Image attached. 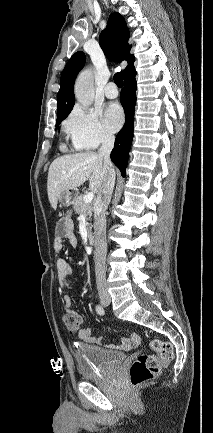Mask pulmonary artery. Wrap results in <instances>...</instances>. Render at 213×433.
Segmentation results:
<instances>
[{
	"instance_id": "e3ab8cb5",
	"label": "pulmonary artery",
	"mask_w": 213,
	"mask_h": 433,
	"mask_svg": "<svg viewBox=\"0 0 213 433\" xmlns=\"http://www.w3.org/2000/svg\"><path fill=\"white\" fill-rule=\"evenodd\" d=\"M104 94L107 98H116L118 96L116 85L113 82H109L104 88Z\"/></svg>"
}]
</instances>
